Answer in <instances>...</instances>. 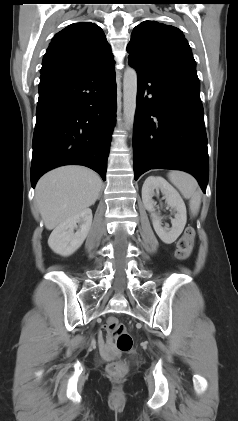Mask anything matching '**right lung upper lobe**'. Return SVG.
<instances>
[{"instance_id":"1","label":"right lung upper lobe","mask_w":238,"mask_h":421,"mask_svg":"<svg viewBox=\"0 0 238 421\" xmlns=\"http://www.w3.org/2000/svg\"><path fill=\"white\" fill-rule=\"evenodd\" d=\"M113 54L101 27L74 23L58 32L44 55L41 73L48 71L107 69L114 66Z\"/></svg>"}]
</instances>
